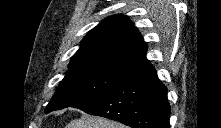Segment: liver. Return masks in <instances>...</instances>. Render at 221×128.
Wrapping results in <instances>:
<instances>
[{
  "instance_id": "liver-1",
  "label": "liver",
  "mask_w": 221,
  "mask_h": 128,
  "mask_svg": "<svg viewBox=\"0 0 221 128\" xmlns=\"http://www.w3.org/2000/svg\"><path fill=\"white\" fill-rule=\"evenodd\" d=\"M66 128H126L124 125L102 118L86 117L84 119H75L66 125Z\"/></svg>"
}]
</instances>
